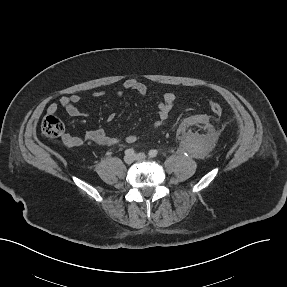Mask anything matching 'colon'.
Segmentation results:
<instances>
[{"label":"colon","mask_w":287,"mask_h":287,"mask_svg":"<svg viewBox=\"0 0 287 287\" xmlns=\"http://www.w3.org/2000/svg\"><path fill=\"white\" fill-rule=\"evenodd\" d=\"M209 107L215 116H220L223 113V107L218 102H211ZM41 131L48 138H58L64 133V125L57 116L49 114L44 117L41 123Z\"/></svg>","instance_id":"colon-1"}]
</instances>
